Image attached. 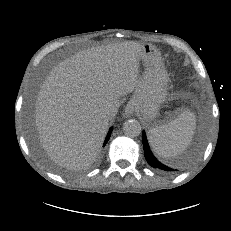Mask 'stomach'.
<instances>
[{
  "label": "stomach",
  "mask_w": 231,
  "mask_h": 231,
  "mask_svg": "<svg viewBox=\"0 0 231 231\" xmlns=\"http://www.w3.org/2000/svg\"><path fill=\"white\" fill-rule=\"evenodd\" d=\"M139 58L144 70L128 107L134 108L148 125L154 126L160 106L166 98L168 74L160 55L151 44L143 45Z\"/></svg>",
  "instance_id": "0dacf381"
}]
</instances>
